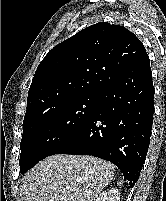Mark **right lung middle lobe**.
Segmentation results:
<instances>
[{"label":"right lung middle lobe","mask_w":166,"mask_h":201,"mask_svg":"<svg viewBox=\"0 0 166 201\" xmlns=\"http://www.w3.org/2000/svg\"><path fill=\"white\" fill-rule=\"evenodd\" d=\"M98 95L83 96L24 118L20 171L25 173L80 128L95 112Z\"/></svg>","instance_id":"dd1d6c3e"}]
</instances>
